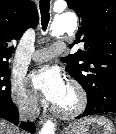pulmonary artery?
Returning a JSON list of instances; mask_svg holds the SVG:
<instances>
[{
    "label": "pulmonary artery",
    "mask_w": 116,
    "mask_h": 134,
    "mask_svg": "<svg viewBox=\"0 0 116 134\" xmlns=\"http://www.w3.org/2000/svg\"><path fill=\"white\" fill-rule=\"evenodd\" d=\"M65 48L66 47H65V44L63 42H57V43H54L49 48H44V49H40V50L35 51L31 55V58L34 61L45 62V61H48L59 54H62L65 51Z\"/></svg>",
    "instance_id": "1"
}]
</instances>
